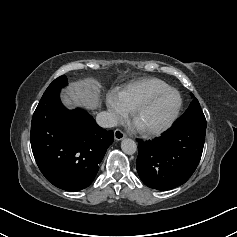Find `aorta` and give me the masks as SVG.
<instances>
[{"instance_id": "762f6f07", "label": "aorta", "mask_w": 237, "mask_h": 237, "mask_svg": "<svg viewBox=\"0 0 237 237\" xmlns=\"http://www.w3.org/2000/svg\"><path fill=\"white\" fill-rule=\"evenodd\" d=\"M121 149L125 154L132 155L137 151V144L134 140L125 138L121 142Z\"/></svg>"}]
</instances>
